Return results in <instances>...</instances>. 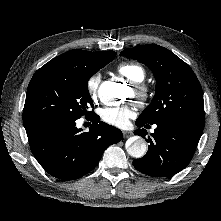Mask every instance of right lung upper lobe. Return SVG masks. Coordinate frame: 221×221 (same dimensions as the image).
<instances>
[{
    "mask_svg": "<svg viewBox=\"0 0 221 221\" xmlns=\"http://www.w3.org/2000/svg\"><path fill=\"white\" fill-rule=\"evenodd\" d=\"M106 56H116L114 51L104 52H90L85 50H70L67 51L48 63L43 68H55V69H78L83 66L89 65L96 59L103 58Z\"/></svg>",
    "mask_w": 221,
    "mask_h": 221,
    "instance_id": "right-lung-upper-lobe-1",
    "label": "right lung upper lobe"
}]
</instances>
